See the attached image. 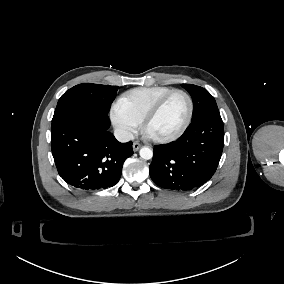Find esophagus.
<instances>
[{
  "mask_svg": "<svg viewBox=\"0 0 284 284\" xmlns=\"http://www.w3.org/2000/svg\"><path fill=\"white\" fill-rule=\"evenodd\" d=\"M141 147V144L139 142H134L133 143V151L136 152L139 150V148Z\"/></svg>",
  "mask_w": 284,
  "mask_h": 284,
  "instance_id": "34e87169",
  "label": "esophagus"
}]
</instances>
